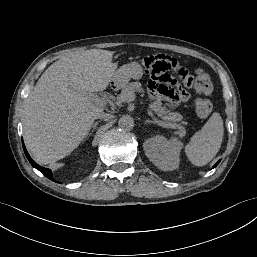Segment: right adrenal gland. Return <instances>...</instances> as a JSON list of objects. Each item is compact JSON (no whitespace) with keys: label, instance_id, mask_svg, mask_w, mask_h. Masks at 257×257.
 Returning <instances> with one entry per match:
<instances>
[{"label":"right adrenal gland","instance_id":"right-adrenal-gland-1","mask_svg":"<svg viewBox=\"0 0 257 257\" xmlns=\"http://www.w3.org/2000/svg\"><path fill=\"white\" fill-rule=\"evenodd\" d=\"M99 122H100V121H96L95 123H93V124L91 125V128H90V130L88 131V133H87V135H86V137H85V140H87V139L89 138V136L92 135L93 131L95 130V128H96V126L98 125ZM91 129H92V130H91ZM90 131H91V132H90Z\"/></svg>","mask_w":257,"mask_h":257}]
</instances>
